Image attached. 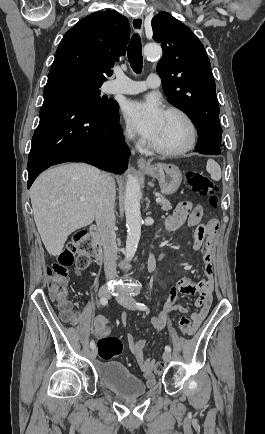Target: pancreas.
I'll list each match as a JSON object with an SVG mask.
<instances>
[{
	"mask_svg": "<svg viewBox=\"0 0 265 434\" xmlns=\"http://www.w3.org/2000/svg\"><path fill=\"white\" fill-rule=\"evenodd\" d=\"M161 206V210H165V212H168V210H172V206L169 202V200H166V198H161V202H159Z\"/></svg>",
	"mask_w": 265,
	"mask_h": 434,
	"instance_id": "1",
	"label": "pancreas"
}]
</instances>
